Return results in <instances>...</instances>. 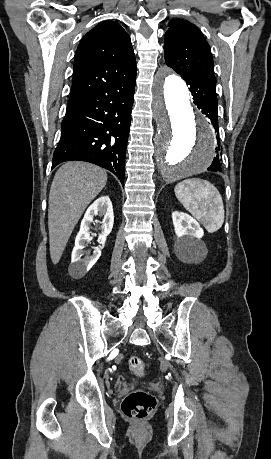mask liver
Returning a JSON list of instances; mask_svg holds the SVG:
<instances>
[{
	"label": "liver",
	"instance_id": "liver-1",
	"mask_svg": "<svg viewBox=\"0 0 271 459\" xmlns=\"http://www.w3.org/2000/svg\"><path fill=\"white\" fill-rule=\"evenodd\" d=\"M106 170L87 162H66L54 176L49 192L50 255L58 263L85 208L105 188Z\"/></svg>",
	"mask_w": 271,
	"mask_h": 459
}]
</instances>
